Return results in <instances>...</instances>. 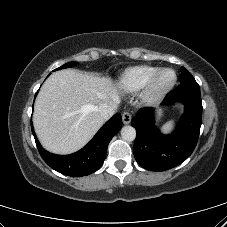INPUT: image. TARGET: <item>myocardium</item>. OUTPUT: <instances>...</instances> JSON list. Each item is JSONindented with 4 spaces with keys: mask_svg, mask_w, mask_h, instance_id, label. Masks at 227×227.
<instances>
[{
    "mask_svg": "<svg viewBox=\"0 0 227 227\" xmlns=\"http://www.w3.org/2000/svg\"><path fill=\"white\" fill-rule=\"evenodd\" d=\"M171 72L173 79L167 83L162 84L160 78L162 74ZM177 74L171 68H160L148 81L144 87L143 98L147 103H155L162 99L176 84Z\"/></svg>",
    "mask_w": 227,
    "mask_h": 227,
    "instance_id": "obj_1",
    "label": "myocardium"
}]
</instances>
